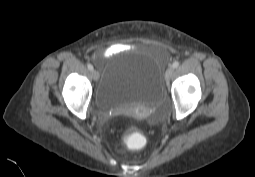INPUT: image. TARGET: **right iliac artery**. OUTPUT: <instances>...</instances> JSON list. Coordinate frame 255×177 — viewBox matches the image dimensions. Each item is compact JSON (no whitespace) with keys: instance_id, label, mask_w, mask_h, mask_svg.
Masks as SVG:
<instances>
[{"instance_id":"1","label":"right iliac artery","mask_w":255,"mask_h":177,"mask_svg":"<svg viewBox=\"0 0 255 177\" xmlns=\"http://www.w3.org/2000/svg\"><path fill=\"white\" fill-rule=\"evenodd\" d=\"M87 67H88V69H89L90 71L93 70V66H92L91 64H88Z\"/></svg>"}]
</instances>
